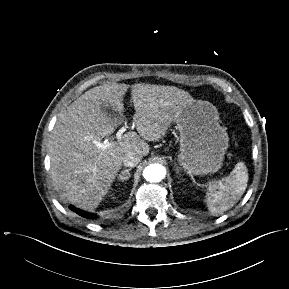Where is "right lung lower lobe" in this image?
<instances>
[{
    "instance_id": "obj_1",
    "label": "right lung lower lobe",
    "mask_w": 289,
    "mask_h": 289,
    "mask_svg": "<svg viewBox=\"0 0 289 289\" xmlns=\"http://www.w3.org/2000/svg\"><path fill=\"white\" fill-rule=\"evenodd\" d=\"M72 211L76 212L78 215L85 217V218H89V219H94L96 218V214H92V213H88L79 209H75L74 207L70 206L69 207Z\"/></svg>"
}]
</instances>
